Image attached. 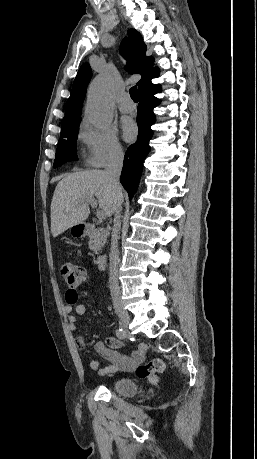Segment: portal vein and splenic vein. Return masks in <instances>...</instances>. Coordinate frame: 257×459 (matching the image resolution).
<instances>
[{
    "mask_svg": "<svg viewBox=\"0 0 257 459\" xmlns=\"http://www.w3.org/2000/svg\"><path fill=\"white\" fill-rule=\"evenodd\" d=\"M88 203L92 206V208H96L97 207L96 200L93 199V198H90V199L86 200V204H88ZM96 216H97V218L99 220H104L105 217H106L105 213L103 211H100V210H98L96 212Z\"/></svg>",
    "mask_w": 257,
    "mask_h": 459,
    "instance_id": "1",
    "label": "portal vein and splenic vein"
}]
</instances>
